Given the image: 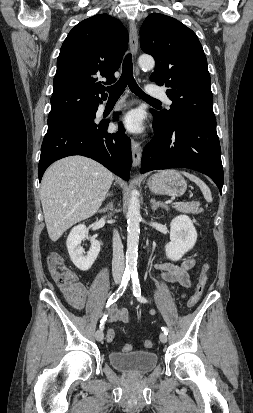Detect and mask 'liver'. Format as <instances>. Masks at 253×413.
I'll return each instance as SVG.
<instances>
[{"label": "liver", "instance_id": "obj_1", "mask_svg": "<svg viewBox=\"0 0 253 413\" xmlns=\"http://www.w3.org/2000/svg\"><path fill=\"white\" fill-rule=\"evenodd\" d=\"M114 175L100 163L69 156L44 173L40 197L50 239L55 242L74 224L93 216L105 199Z\"/></svg>", "mask_w": 253, "mask_h": 413}]
</instances>
